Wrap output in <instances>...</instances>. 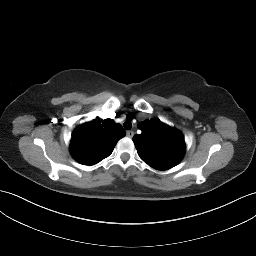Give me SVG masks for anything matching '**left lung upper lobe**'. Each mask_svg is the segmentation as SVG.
Segmentation results:
<instances>
[{
  "label": "left lung upper lobe",
  "instance_id": "left-lung-upper-lobe-1",
  "mask_svg": "<svg viewBox=\"0 0 256 256\" xmlns=\"http://www.w3.org/2000/svg\"><path fill=\"white\" fill-rule=\"evenodd\" d=\"M141 134L133 141L140 158L157 170H167L177 165L184 156L185 142L181 132L158 119L138 124Z\"/></svg>",
  "mask_w": 256,
  "mask_h": 256
}]
</instances>
